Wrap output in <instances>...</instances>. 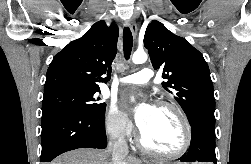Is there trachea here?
I'll return each mask as SVG.
<instances>
[{
  "instance_id": "trachea-1",
  "label": "trachea",
  "mask_w": 251,
  "mask_h": 164,
  "mask_svg": "<svg viewBox=\"0 0 251 164\" xmlns=\"http://www.w3.org/2000/svg\"><path fill=\"white\" fill-rule=\"evenodd\" d=\"M132 46H133V36L131 30L128 27H125L123 30V47L126 60L130 58Z\"/></svg>"
}]
</instances>
